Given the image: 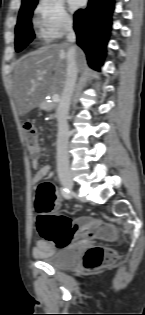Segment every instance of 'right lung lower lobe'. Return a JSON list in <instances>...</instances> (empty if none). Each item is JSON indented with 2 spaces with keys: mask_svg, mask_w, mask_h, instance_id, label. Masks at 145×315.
I'll use <instances>...</instances> for the list:
<instances>
[{
  "mask_svg": "<svg viewBox=\"0 0 145 315\" xmlns=\"http://www.w3.org/2000/svg\"><path fill=\"white\" fill-rule=\"evenodd\" d=\"M114 0H89L88 6L74 14L77 44L85 51L88 64L99 69L106 54Z\"/></svg>",
  "mask_w": 145,
  "mask_h": 315,
  "instance_id": "right-lung-lower-lobe-1",
  "label": "right lung lower lobe"
}]
</instances>
